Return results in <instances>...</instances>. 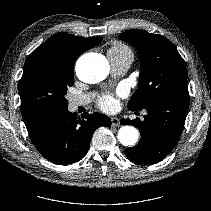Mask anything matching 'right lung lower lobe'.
<instances>
[{
    "label": "right lung lower lobe",
    "mask_w": 211,
    "mask_h": 211,
    "mask_svg": "<svg viewBox=\"0 0 211 211\" xmlns=\"http://www.w3.org/2000/svg\"><path fill=\"white\" fill-rule=\"evenodd\" d=\"M108 116L94 112L82 117L67 109L44 115L27 127L34 146L48 161L66 165L80 161L87 153L94 131L109 127Z\"/></svg>",
    "instance_id": "right-lung-lower-lobe-1"
}]
</instances>
